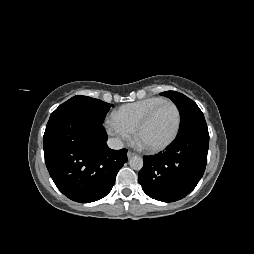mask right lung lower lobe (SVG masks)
Masks as SVG:
<instances>
[{
    "label": "right lung lower lobe",
    "mask_w": 254,
    "mask_h": 254,
    "mask_svg": "<svg viewBox=\"0 0 254 254\" xmlns=\"http://www.w3.org/2000/svg\"><path fill=\"white\" fill-rule=\"evenodd\" d=\"M102 124L74 114L50 118L44 133L47 169L58 189L69 199L89 203L105 197L127 150H112Z\"/></svg>",
    "instance_id": "right-lung-lower-lobe-1"
}]
</instances>
